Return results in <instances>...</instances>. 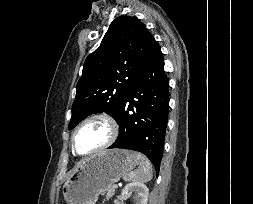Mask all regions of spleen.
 Returning a JSON list of instances; mask_svg holds the SVG:
<instances>
[{"mask_svg":"<svg viewBox=\"0 0 253 204\" xmlns=\"http://www.w3.org/2000/svg\"><path fill=\"white\" fill-rule=\"evenodd\" d=\"M137 169L123 176L125 181L147 182L152 179V165L150 161L142 154H136Z\"/></svg>","mask_w":253,"mask_h":204,"instance_id":"3e777b00","label":"spleen"}]
</instances>
